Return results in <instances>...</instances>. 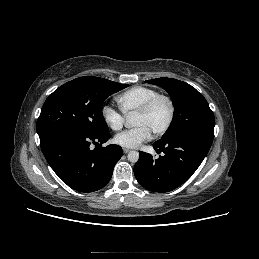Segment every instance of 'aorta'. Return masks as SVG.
I'll list each match as a JSON object with an SVG mask.
<instances>
[{
	"mask_svg": "<svg viewBox=\"0 0 259 259\" xmlns=\"http://www.w3.org/2000/svg\"><path fill=\"white\" fill-rule=\"evenodd\" d=\"M134 124H133V117L132 116H129L128 118H127V121H126V126L127 127H131V126H133ZM138 159H139V153L137 152V151H130L129 153H128V160L130 161V162H132V163H136L137 161H138Z\"/></svg>",
	"mask_w": 259,
	"mask_h": 259,
	"instance_id": "762f6f07",
	"label": "aorta"
}]
</instances>
